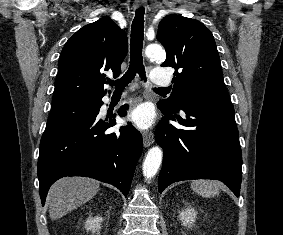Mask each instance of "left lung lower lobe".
Instances as JSON below:
<instances>
[{"label": "left lung lower lobe", "mask_w": 283, "mask_h": 235, "mask_svg": "<svg viewBox=\"0 0 283 235\" xmlns=\"http://www.w3.org/2000/svg\"><path fill=\"white\" fill-rule=\"evenodd\" d=\"M166 117L158 124L155 140L163 148V166L158 190L191 179H217L239 197L242 177V152L233 105L184 104L186 116L158 106ZM176 121L187 129L167 122Z\"/></svg>", "instance_id": "0a47b994"}]
</instances>
